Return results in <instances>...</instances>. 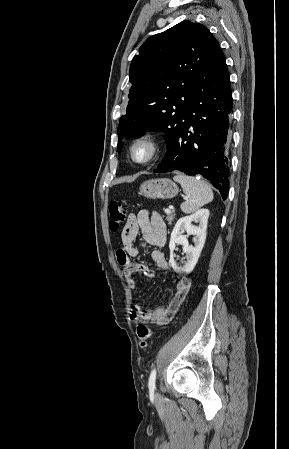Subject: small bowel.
I'll list each match as a JSON object with an SVG mask.
<instances>
[{
	"mask_svg": "<svg viewBox=\"0 0 289 449\" xmlns=\"http://www.w3.org/2000/svg\"><path fill=\"white\" fill-rule=\"evenodd\" d=\"M141 233V243L135 245L136 237ZM167 229L161 216L156 212L141 210L131 216L122 233V248L116 252V259L122 267L123 275L129 285L136 286L134 275L140 274L153 278L154 271L147 265L133 260L141 250H149L154 264L162 270L169 269L168 261L161 250L166 243ZM190 288V281L182 277L176 283L174 295L166 307L145 311L140 304H135L131 311V319L136 323H152L164 325L177 313Z\"/></svg>",
	"mask_w": 289,
	"mask_h": 449,
	"instance_id": "c3829d8e",
	"label": "small bowel"
}]
</instances>
